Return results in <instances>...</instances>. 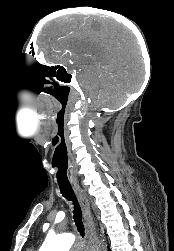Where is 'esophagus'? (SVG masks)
Returning <instances> with one entry per match:
<instances>
[{
	"instance_id": "1",
	"label": "esophagus",
	"mask_w": 174,
	"mask_h": 251,
	"mask_svg": "<svg viewBox=\"0 0 174 251\" xmlns=\"http://www.w3.org/2000/svg\"><path fill=\"white\" fill-rule=\"evenodd\" d=\"M73 189L75 191V194H76L77 199L79 201V204L81 206V209H82L85 221H86V226L88 229L90 239L93 243H95V247H96L97 251H100V243L98 242L95 227H94L92 217H91L90 205H89L88 199L86 197V194L81 189V187L78 183H73Z\"/></svg>"
}]
</instances>
